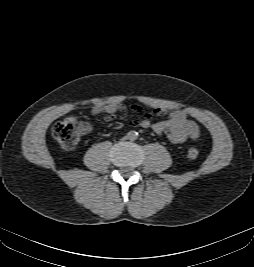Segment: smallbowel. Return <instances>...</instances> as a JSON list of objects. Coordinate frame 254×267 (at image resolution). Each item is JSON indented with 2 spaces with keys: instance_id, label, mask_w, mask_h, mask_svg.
I'll use <instances>...</instances> for the list:
<instances>
[{
  "instance_id": "small-bowel-1",
  "label": "small bowel",
  "mask_w": 254,
  "mask_h": 267,
  "mask_svg": "<svg viewBox=\"0 0 254 267\" xmlns=\"http://www.w3.org/2000/svg\"><path fill=\"white\" fill-rule=\"evenodd\" d=\"M132 110L139 112L142 111V107L139 105H133ZM126 107L117 102H111L107 104L95 105L91 112L93 115L105 113L108 115L107 119L110 120L117 112H125ZM165 109L157 107L151 112L145 115V118L141 121L133 120L131 124L133 126H141L145 129H152L156 134H166L169 141L173 144H180L187 139L196 140L199 137V127L197 123L191 120L187 113L183 110H175L168 114V117L164 120L152 122L153 115L165 114Z\"/></svg>"
}]
</instances>
